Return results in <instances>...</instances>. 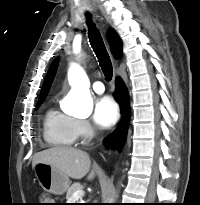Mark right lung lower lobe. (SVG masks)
Wrapping results in <instances>:
<instances>
[{"label":"right lung lower lobe","instance_id":"98d812e1","mask_svg":"<svg viewBox=\"0 0 200 205\" xmlns=\"http://www.w3.org/2000/svg\"><path fill=\"white\" fill-rule=\"evenodd\" d=\"M114 97L116 101L121 104L123 118L118 128L113 132L110 138H108L107 144H109L111 147L120 149L126 137L130 115L128 93L124 83L120 78H116V92Z\"/></svg>","mask_w":200,"mask_h":205}]
</instances>
